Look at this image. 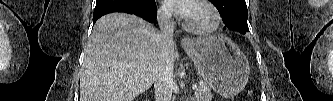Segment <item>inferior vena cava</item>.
Wrapping results in <instances>:
<instances>
[{"label": "inferior vena cava", "instance_id": "1", "mask_svg": "<svg viewBox=\"0 0 333 101\" xmlns=\"http://www.w3.org/2000/svg\"><path fill=\"white\" fill-rule=\"evenodd\" d=\"M158 24L160 28L159 60L160 64L155 76V101H171L173 83V63L171 50L174 47L173 31L174 20L172 13L166 9L158 12Z\"/></svg>", "mask_w": 333, "mask_h": 101}]
</instances>
